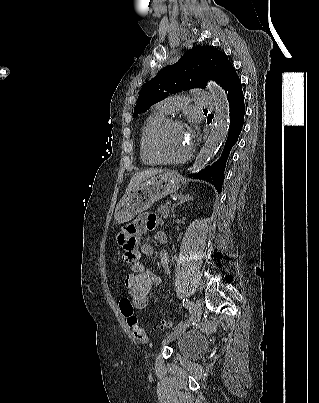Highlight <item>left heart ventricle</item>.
Listing matches in <instances>:
<instances>
[{"mask_svg":"<svg viewBox=\"0 0 319 403\" xmlns=\"http://www.w3.org/2000/svg\"><path fill=\"white\" fill-rule=\"evenodd\" d=\"M190 137L182 126H171L167 128L159 139V148L162 154L168 158H180L190 148Z\"/></svg>","mask_w":319,"mask_h":403,"instance_id":"left-heart-ventricle-1","label":"left heart ventricle"}]
</instances>
